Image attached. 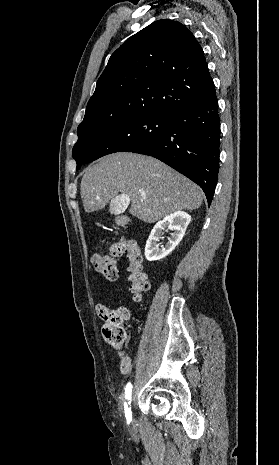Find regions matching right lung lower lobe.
<instances>
[{
	"instance_id": "obj_1",
	"label": "right lung lower lobe",
	"mask_w": 279,
	"mask_h": 465,
	"mask_svg": "<svg viewBox=\"0 0 279 465\" xmlns=\"http://www.w3.org/2000/svg\"><path fill=\"white\" fill-rule=\"evenodd\" d=\"M168 129L130 152L155 157L179 171L205 192L210 205L219 172L220 118L214 84L199 101L172 111Z\"/></svg>"
}]
</instances>
